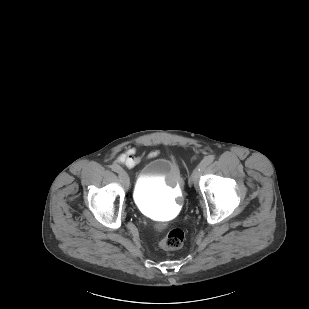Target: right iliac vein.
Returning a JSON list of instances; mask_svg holds the SVG:
<instances>
[{
  "label": "right iliac vein",
  "mask_w": 309,
  "mask_h": 309,
  "mask_svg": "<svg viewBox=\"0 0 309 309\" xmlns=\"http://www.w3.org/2000/svg\"><path fill=\"white\" fill-rule=\"evenodd\" d=\"M118 173H119L120 181H121L124 185L128 186V185H129L130 179H129V176H128L127 172L124 171L123 169H120Z\"/></svg>",
  "instance_id": "right-iliac-vein-1"
}]
</instances>
